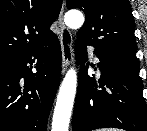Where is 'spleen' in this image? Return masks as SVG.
I'll list each match as a JSON object with an SVG mask.
<instances>
[{
	"label": "spleen",
	"instance_id": "spleen-1",
	"mask_svg": "<svg viewBox=\"0 0 147 131\" xmlns=\"http://www.w3.org/2000/svg\"><path fill=\"white\" fill-rule=\"evenodd\" d=\"M102 131H121V130H117V129H106V130H102Z\"/></svg>",
	"mask_w": 147,
	"mask_h": 131
}]
</instances>
